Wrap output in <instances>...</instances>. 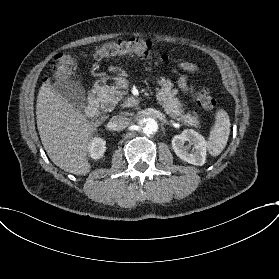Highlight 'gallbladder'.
<instances>
[{
  "mask_svg": "<svg viewBox=\"0 0 279 279\" xmlns=\"http://www.w3.org/2000/svg\"><path fill=\"white\" fill-rule=\"evenodd\" d=\"M53 87L58 94L78 109H84L87 106L86 89L80 81L68 77L58 78Z\"/></svg>",
  "mask_w": 279,
  "mask_h": 279,
  "instance_id": "gallbladder-1",
  "label": "gallbladder"
}]
</instances>
